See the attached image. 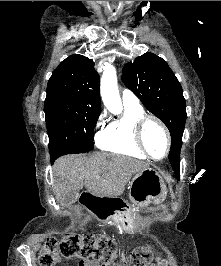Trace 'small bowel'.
I'll return each mask as SVG.
<instances>
[{"label": "small bowel", "instance_id": "1", "mask_svg": "<svg viewBox=\"0 0 221 266\" xmlns=\"http://www.w3.org/2000/svg\"><path fill=\"white\" fill-rule=\"evenodd\" d=\"M79 266H100L98 262L95 261H85L81 262ZM123 266H126V261L123 258ZM151 266H168V263L165 259L161 258L160 256H156L155 263Z\"/></svg>", "mask_w": 221, "mask_h": 266}]
</instances>
